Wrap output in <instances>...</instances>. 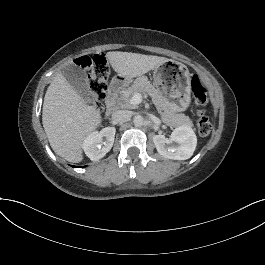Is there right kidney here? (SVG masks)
Returning <instances> with one entry per match:
<instances>
[{
	"label": "right kidney",
	"mask_w": 265,
	"mask_h": 265,
	"mask_svg": "<svg viewBox=\"0 0 265 265\" xmlns=\"http://www.w3.org/2000/svg\"><path fill=\"white\" fill-rule=\"evenodd\" d=\"M116 129L107 127L99 133H93L83 142V148L86 155L93 161H98L105 157L114 144Z\"/></svg>",
	"instance_id": "1"
}]
</instances>
